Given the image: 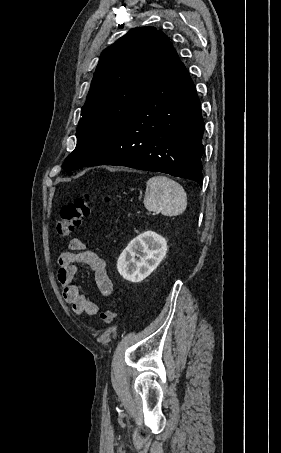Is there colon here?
<instances>
[{
  "instance_id": "colon-1",
  "label": "colon",
  "mask_w": 281,
  "mask_h": 453,
  "mask_svg": "<svg viewBox=\"0 0 281 453\" xmlns=\"http://www.w3.org/2000/svg\"><path fill=\"white\" fill-rule=\"evenodd\" d=\"M96 201L93 195H85L75 200L64 203L61 207L60 217L56 221V230L59 235L67 236L80 227L89 215L91 205ZM116 311L112 306H106L100 314L103 326H111L115 320Z\"/></svg>"
}]
</instances>
